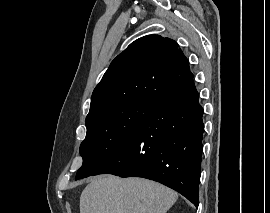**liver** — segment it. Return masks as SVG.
Returning a JSON list of instances; mask_svg holds the SVG:
<instances>
[{"instance_id":"1","label":"liver","mask_w":270,"mask_h":213,"mask_svg":"<svg viewBox=\"0 0 270 213\" xmlns=\"http://www.w3.org/2000/svg\"><path fill=\"white\" fill-rule=\"evenodd\" d=\"M177 198L175 191L150 180L104 175L82 191L80 213H166Z\"/></svg>"}]
</instances>
